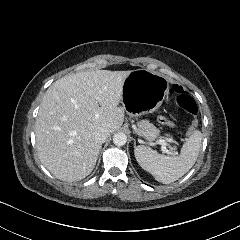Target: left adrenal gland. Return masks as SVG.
Here are the masks:
<instances>
[{
  "label": "left adrenal gland",
  "instance_id": "1",
  "mask_svg": "<svg viewBox=\"0 0 240 240\" xmlns=\"http://www.w3.org/2000/svg\"><path fill=\"white\" fill-rule=\"evenodd\" d=\"M134 147H136V141L134 140Z\"/></svg>",
  "mask_w": 240,
  "mask_h": 240
}]
</instances>
